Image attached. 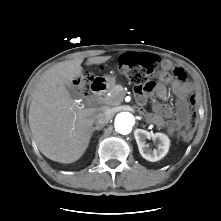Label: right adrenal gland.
<instances>
[{"label":"right adrenal gland","mask_w":221,"mask_h":221,"mask_svg":"<svg viewBox=\"0 0 221 221\" xmlns=\"http://www.w3.org/2000/svg\"><path fill=\"white\" fill-rule=\"evenodd\" d=\"M102 129V127H98V126H96V127H93L92 128V135L94 134V132L97 130V131H100Z\"/></svg>","instance_id":"2a0ac1e0"}]
</instances>
